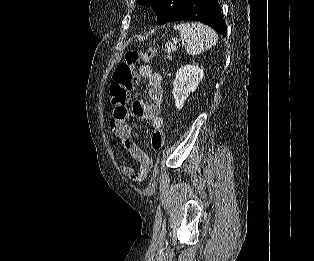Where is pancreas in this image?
Listing matches in <instances>:
<instances>
[{
  "label": "pancreas",
  "mask_w": 314,
  "mask_h": 261,
  "mask_svg": "<svg viewBox=\"0 0 314 261\" xmlns=\"http://www.w3.org/2000/svg\"><path fill=\"white\" fill-rule=\"evenodd\" d=\"M165 51L167 53V58L170 59L171 58V52H174L176 51V47L173 43L171 42H167L166 45H165Z\"/></svg>",
  "instance_id": "pancreas-1"
}]
</instances>
